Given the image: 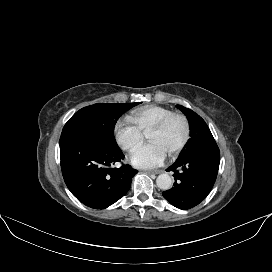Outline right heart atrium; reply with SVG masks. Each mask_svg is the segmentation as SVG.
Returning <instances> with one entry per match:
<instances>
[{"mask_svg":"<svg viewBox=\"0 0 272 272\" xmlns=\"http://www.w3.org/2000/svg\"><path fill=\"white\" fill-rule=\"evenodd\" d=\"M114 135L118 145L125 151H134L143 139L142 132L129 120L120 119L114 126Z\"/></svg>","mask_w":272,"mask_h":272,"instance_id":"right-heart-atrium-1","label":"right heart atrium"}]
</instances>
